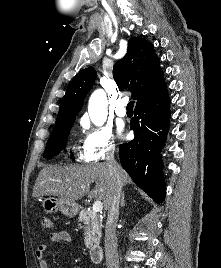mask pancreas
<instances>
[{
  "mask_svg": "<svg viewBox=\"0 0 221 268\" xmlns=\"http://www.w3.org/2000/svg\"><path fill=\"white\" fill-rule=\"evenodd\" d=\"M79 221L84 223V243L87 248H91L100 242L102 235V222L97 213L82 209Z\"/></svg>",
  "mask_w": 221,
  "mask_h": 268,
  "instance_id": "1",
  "label": "pancreas"
}]
</instances>
